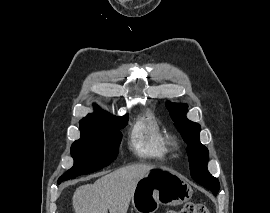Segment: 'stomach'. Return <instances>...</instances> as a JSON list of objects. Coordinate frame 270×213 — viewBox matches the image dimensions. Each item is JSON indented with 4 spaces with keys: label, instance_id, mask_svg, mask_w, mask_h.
<instances>
[{
    "label": "stomach",
    "instance_id": "1",
    "mask_svg": "<svg viewBox=\"0 0 270 213\" xmlns=\"http://www.w3.org/2000/svg\"><path fill=\"white\" fill-rule=\"evenodd\" d=\"M192 194L183 176L166 168H154L138 181L131 200L137 213H155L160 204L180 205L190 200Z\"/></svg>",
    "mask_w": 270,
    "mask_h": 213
}]
</instances>
